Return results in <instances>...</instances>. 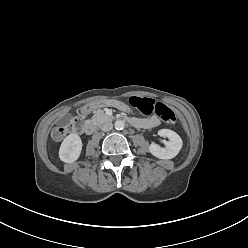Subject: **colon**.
I'll return each instance as SVG.
<instances>
[{
	"instance_id": "obj_1",
	"label": "colon",
	"mask_w": 248,
	"mask_h": 248,
	"mask_svg": "<svg viewBox=\"0 0 248 248\" xmlns=\"http://www.w3.org/2000/svg\"><path fill=\"white\" fill-rule=\"evenodd\" d=\"M129 102L140 112L146 115H157L166 123L173 124L177 119L175 112L171 108L153 99L132 97ZM81 128L82 122L74 119L65 125L54 128L51 135L53 139L61 140L69 133L78 132Z\"/></svg>"
}]
</instances>
